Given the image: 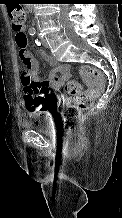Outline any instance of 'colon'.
<instances>
[{"instance_id": "colon-1", "label": "colon", "mask_w": 122, "mask_h": 218, "mask_svg": "<svg viewBox=\"0 0 122 218\" xmlns=\"http://www.w3.org/2000/svg\"><path fill=\"white\" fill-rule=\"evenodd\" d=\"M9 17L12 22V28L16 32L15 42L19 51V56L23 62L28 60V38L22 31L26 13L25 10L16 4L8 6ZM81 76L89 81L93 89L83 91L81 84L76 80H70L65 83L66 92L74 98V103L64 109V127L67 132H72L75 129L77 120L81 111L88 110L92 107L94 97L100 93L105 86L103 73L96 67L83 65L80 67ZM21 82L24 85L23 94H25L24 103L26 108L32 112H42V107L37 105L34 100V93L38 89L37 85L32 82L28 70L21 74Z\"/></svg>"}]
</instances>
